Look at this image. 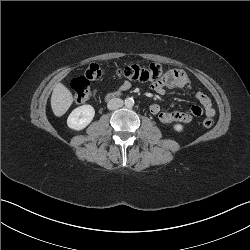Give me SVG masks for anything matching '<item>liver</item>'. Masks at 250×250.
<instances>
[{
    "label": "liver",
    "mask_w": 250,
    "mask_h": 250,
    "mask_svg": "<svg viewBox=\"0 0 250 250\" xmlns=\"http://www.w3.org/2000/svg\"><path fill=\"white\" fill-rule=\"evenodd\" d=\"M73 96L70 90L62 83L55 85L51 95V108L55 116H63L70 108Z\"/></svg>",
    "instance_id": "liver-1"
}]
</instances>
